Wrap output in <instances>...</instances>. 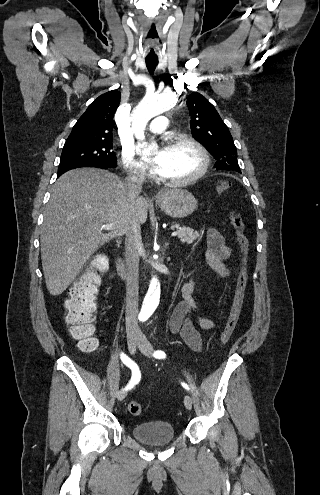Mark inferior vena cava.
Returning a JSON list of instances; mask_svg holds the SVG:
<instances>
[{
	"instance_id": "inferior-vena-cava-1",
	"label": "inferior vena cava",
	"mask_w": 320,
	"mask_h": 495,
	"mask_svg": "<svg viewBox=\"0 0 320 495\" xmlns=\"http://www.w3.org/2000/svg\"><path fill=\"white\" fill-rule=\"evenodd\" d=\"M144 175L141 170L134 169L128 173L125 179V187L131 200L135 199L141 192ZM141 244L140 224L133 218L126 232L125 239V262L126 272V328L128 331L139 332L137 321L138 298H139V245Z\"/></svg>"
}]
</instances>
